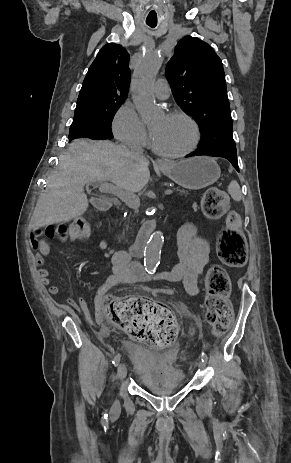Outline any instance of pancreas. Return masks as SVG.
Segmentation results:
<instances>
[{"instance_id": "obj_1", "label": "pancreas", "mask_w": 291, "mask_h": 463, "mask_svg": "<svg viewBox=\"0 0 291 463\" xmlns=\"http://www.w3.org/2000/svg\"><path fill=\"white\" fill-rule=\"evenodd\" d=\"M173 190L176 192V194L180 197H187L190 195V193L184 189H180L178 187L173 188Z\"/></svg>"}]
</instances>
